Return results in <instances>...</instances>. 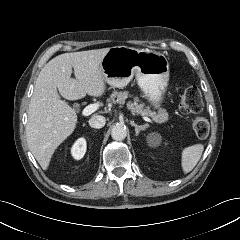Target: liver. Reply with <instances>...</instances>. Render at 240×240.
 I'll list each match as a JSON object with an SVG mask.
<instances>
[{
  "label": "liver",
  "mask_w": 240,
  "mask_h": 240,
  "mask_svg": "<svg viewBox=\"0 0 240 240\" xmlns=\"http://www.w3.org/2000/svg\"><path fill=\"white\" fill-rule=\"evenodd\" d=\"M109 49L64 53L41 69L29 104L26 137L43 170H47L53 153L77 124L75 110L60 95L67 100H78L86 94L102 96L106 87L100 64ZM72 69L75 79L71 78Z\"/></svg>",
  "instance_id": "liver-1"
}]
</instances>
